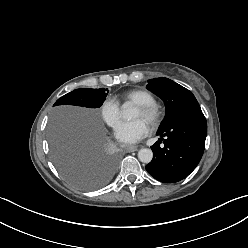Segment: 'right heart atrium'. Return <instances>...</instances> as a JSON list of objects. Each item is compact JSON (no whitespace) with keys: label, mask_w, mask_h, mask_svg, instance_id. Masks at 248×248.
Returning a JSON list of instances; mask_svg holds the SVG:
<instances>
[{"label":"right heart atrium","mask_w":248,"mask_h":248,"mask_svg":"<svg viewBox=\"0 0 248 248\" xmlns=\"http://www.w3.org/2000/svg\"><path fill=\"white\" fill-rule=\"evenodd\" d=\"M99 112L102 120L111 128H115L120 121V107L116 100L107 98L100 107Z\"/></svg>","instance_id":"d8ad5b80"}]
</instances>
